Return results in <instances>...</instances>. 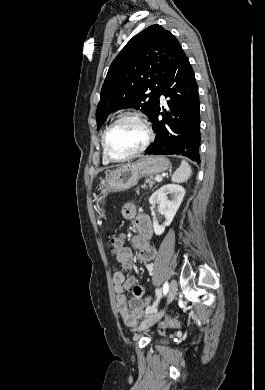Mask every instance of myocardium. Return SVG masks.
<instances>
[{
  "label": "myocardium",
  "instance_id": "myocardium-1",
  "mask_svg": "<svg viewBox=\"0 0 265 390\" xmlns=\"http://www.w3.org/2000/svg\"><path fill=\"white\" fill-rule=\"evenodd\" d=\"M124 120H133L141 125L145 132V140L142 143V145L136 149L135 151L131 152L130 154L123 156V157H116L111 154V152L108 149V136L111 130L120 122ZM153 140V131L147 122V120L140 114L135 112H126L118 116L104 131L102 136V147H103V153L106 156V158L111 162H124L127 160H130L141 153H143L151 144Z\"/></svg>",
  "mask_w": 265,
  "mask_h": 390
}]
</instances>
